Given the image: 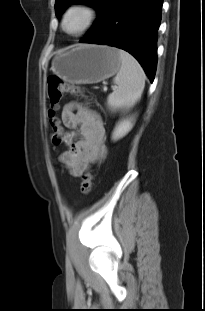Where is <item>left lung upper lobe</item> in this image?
I'll return each instance as SVG.
<instances>
[{"mask_svg":"<svg viewBox=\"0 0 205 311\" xmlns=\"http://www.w3.org/2000/svg\"><path fill=\"white\" fill-rule=\"evenodd\" d=\"M113 2L114 0H56V16L59 17L63 10L72 3H84L90 5L91 7L97 9L99 13V18L94 22V25L91 28L93 29L108 14Z\"/></svg>","mask_w":205,"mask_h":311,"instance_id":"5c2ea615","label":"left lung upper lobe"}]
</instances>
